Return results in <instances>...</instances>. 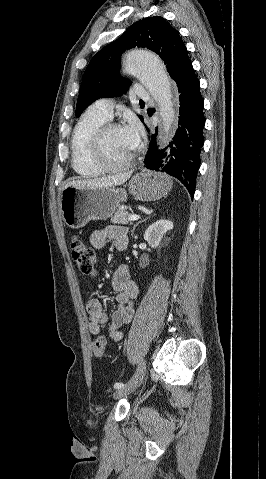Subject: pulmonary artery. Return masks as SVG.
Instances as JSON below:
<instances>
[{"mask_svg": "<svg viewBox=\"0 0 266 479\" xmlns=\"http://www.w3.org/2000/svg\"><path fill=\"white\" fill-rule=\"evenodd\" d=\"M135 94L136 97L146 101L152 100L153 98L151 92L147 88L141 86H136ZM113 107L114 101L112 99L102 98L97 100L90 107V110L104 119L110 120L113 116Z\"/></svg>", "mask_w": 266, "mask_h": 479, "instance_id": "e3ab8cb5", "label": "pulmonary artery"}]
</instances>
